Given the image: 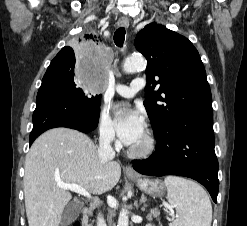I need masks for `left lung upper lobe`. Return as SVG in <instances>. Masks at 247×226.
Returning a JSON list of instances; mask_svg holds the SVG:
<instances>
[{
    "instance_id": "5c2ea615",
    "label": "left lung upper lobe",
    "mask_w": 247,
    "mask_h": 226,
    "mask_svg": "<svg viewBox=\"0 0 247 226\" xmlns=\"http://www.w3.org/2000/svg\"><path fill=\"white\" fill-rule=\"evenodd\" d=\"M135 47L147 59L144 106L154 132L194 109L212 108L203 63L187 38L153 22L137 34Z\"/></svg>"
}]
</instances>
